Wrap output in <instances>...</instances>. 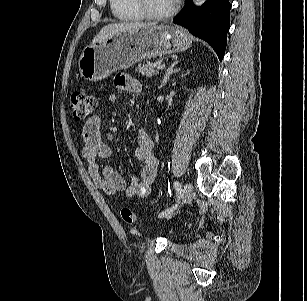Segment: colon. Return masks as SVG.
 <instances>
[{
	"mask_svg": "<svg viewBox=\"0 0 307 301\" xmlns=\"http://www.w3.org/2000/svg\"><path fill=\"white\" fill-rule=\"evenodd\" d=\"M70 106L76 120H86L92 116L96 109V96L93 92L85 89L76 90L71 95ZM121 217L128 225H135L138 223L137 216L130 209H122Z\"/></svg>",
	"mask_w": 307,
	"mask_h": 301,
	"instance_id": "5ec220e1",
	"label": "colon"
}]
</instances>
